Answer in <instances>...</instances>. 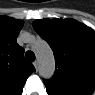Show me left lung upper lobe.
Returning a JSON list of instances; mask_svg holds the SVG:
<instances>
[{
	"mask_svg": "<svg viewBox=\"0 0 95 95\" xmlns=\"http://www.w3.org/2000/svg\"><path fill=\"white\" fill-rule=\"evenodd\" d=\"M35 31L53 50L54 76L44 80L51 92L90 95L95 89V32L73 19H40Z\"/></svg>",
	"mask_w": 95,
	"mask_h": 95,
	"instance_id": "5c2ea615",
	"label": "left lung upper lobe"
}]
</instances>
